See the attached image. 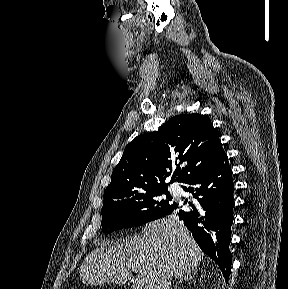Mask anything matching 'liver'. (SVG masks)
Instances as JSON below:
<instances>
[{"label":"liver","instance_id":"obj_1","mask_svg":"<svg viewBox=\"0 0 288 289\" xmlns=\"http://www.w3.org/2000/svg\"><path fill=\"white\" fill-rule=\"evenodd\" d=\"M99 245L79 270L82 282L90 286L125 284L136 273L141 289H163L169 277H183L204 257L187 228L174 216L147 224L142 236Z\"/></svg>","mask_w":288,"mask_h":289}]
</instances>
